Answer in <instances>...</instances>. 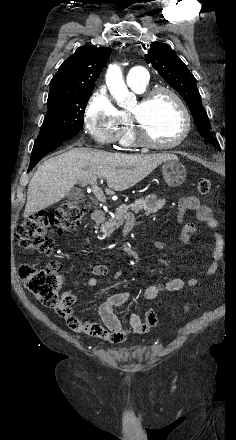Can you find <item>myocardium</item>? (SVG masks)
<instances>
[{
	"mask_svg": "<svg viewBox=\"0 0 236 440\" xmlns=\"http://www.w3.org/2000/svg\"><path fill=\"white\" fill-rule=\"evenodd\" d=\"M162 94H167L174 99L184 119V128L181 135L175 141L166 144L156 143L149 138L142 117L143 110L146 109L156 97ZM129 117L136 142L148 149L165 150L175 148L186 140L191 131V116L186 103L176 91L164 86L156 87L142 93L138 101L137 109L132 111Z\"/></svg>",
	"mask_w": 236,
	"mask_h": 440,
	"instance_id": "obj_1",
	"label": "myocardium"
}]
</instances>
